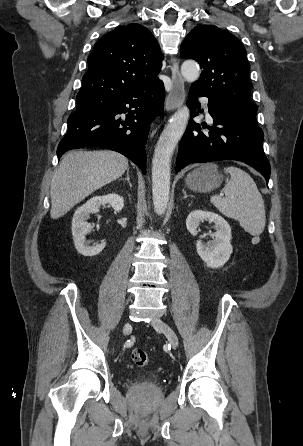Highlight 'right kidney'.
<instances>
[{
  "label": "right kidney",
  "mask_w": 303,
  "mask_h": 446,
  "mask_svg": "<svg viewBox=\"0 0 303 446\" xmlns=\"http://www.w3.org/2000/svg\"><path fill=\"white\" fill-rule=\"evenodd\" d=\"M105 204L111 205L114 210L119 212L124 208V199L117 194L95 196L75 211L72 220V235L76 250L83 256L98 255L105 248V242L90 245V242L86 240V235L92 229L87 222L90 214L97 213L99 208Z\"/></svg>",
  "instance_id": "ca27d5eb"
}]
</instances>
